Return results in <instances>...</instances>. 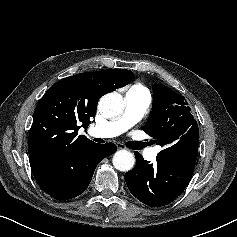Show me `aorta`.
Instances as JSON below:
<instances>
[{
    "mask_svg": "<svg viewBox=\"0 0 237 237\" xmlns=\"http://www.w3.org/2000/svg\"><path fill=\"white\" fill-rule=\"evenodd\" d=\"M124 101L117 92H111L101 97L98 108L100 112L107 117L120 115L124 110ZM114 167L123 172L131 170L135 164L134 155L127 150H119L113 156Z\"/></svg>",
    "mask_w": 237,
    "mask_h": 237,
    "instance_id": "obj_1",
    "label": "aorta"
}]
</instances>
